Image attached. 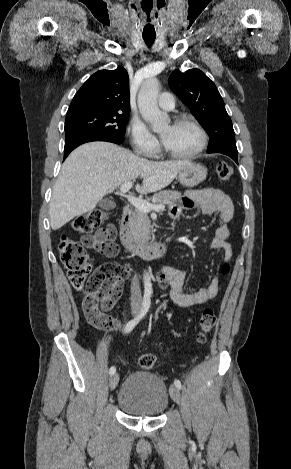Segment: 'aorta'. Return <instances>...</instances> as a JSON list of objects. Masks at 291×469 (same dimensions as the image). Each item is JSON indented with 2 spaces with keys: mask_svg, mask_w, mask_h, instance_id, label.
<instances>
[{
  "mask_svg": "<svg viewBox=\"0 0 291 469\" xmlns=\"http://www.w3.org/2000/svg\"><path fill=\"white\" fill-rule=\"evenodd\" d=\"M159 93V81L152 77L147 79L141 85L138 93V108L145 121L151 124L154 131H159L166 127L169 122V116L160 111L157 98ZM144 292L152 294V282L149 272L143 275Z\"/></svg>",
  "mask_w": 291,
  "mask_h": 469,
  "instance_id": "762f6f07",
  "label": "aorta"
}]
</instances>
